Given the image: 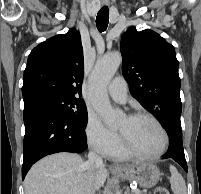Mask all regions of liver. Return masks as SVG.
I'll use <instances>...</instances> for the list:
<instances>
[{
    "label": "liver",
    "instance_id": "6515ba94",
    "mask_svg": "<svg viewBox=\"0 0 201 194\" xmlns=\"http://www.w3.org/2000/svg\"><path fill=\"white\" fill-rule=\"evenodd\" d=\"M80 155L57 153L38 161L24 180L25 194H78L90 176ZM92 186L99 190L108 176L104 165L92 172Z\"/></svg>",
    "mask_w": 201,
    "mask_h": 194
}]
</instances>
